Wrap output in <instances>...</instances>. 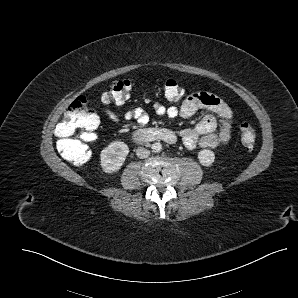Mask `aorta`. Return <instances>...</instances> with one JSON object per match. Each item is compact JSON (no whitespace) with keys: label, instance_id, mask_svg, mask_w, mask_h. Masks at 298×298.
<instances>
[{"label":"aorta","instance_id":"aorta-1","mask_svg":"<svg viewBox=\"0 0 298 298\" xmlns=\"http://www.w3.org/2000/svg\"><path fill=\"white\" fill-rule=\"evenodd\" d=\"M152 152L158 153L162 150V144L160 142H155L151 145Z\"/></svg>","mask_w":298,"mask_h":298}]
</instances>
